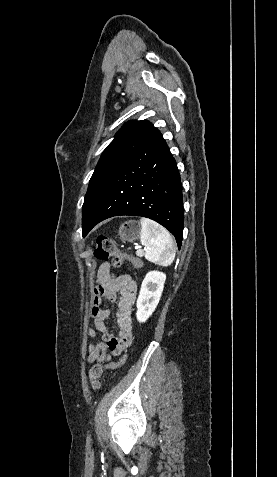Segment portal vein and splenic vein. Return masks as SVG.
<instances>
[{"mask_svg":"<svg viewBox=\"0 0 277 477\" xmlns=\"http://www.w3.org/2000/svg\"><path fill=\"white\" fill-rule=\"evenodd\" d=\"M135 249L137 250V255L142 256L143 255V250L139 246H135Z\"/></svg>","mask_w":277,"mask_h":477,"instance_id":"obj_1","label":"portal vein and splenic vein"}]
</instances>
